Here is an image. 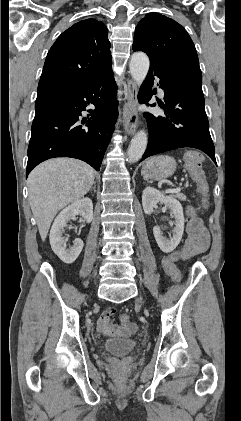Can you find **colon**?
I'll return each instance as SVG.
<instances>
[{
  "label": "colon",
  "instance_id": "obj_1",
  "mask_svg": "<svg viewBox=\"0 0 241 421\" xmlns=\"http://www.w3.org/2000/svg\"><path fill=\"white\" fill-rule=\"evenodd\" d=\"M202 162L203 157L199 152L191 151L186 154L185 165L189 170L192 178L197 183V191L201 197V203L204 206L207 202L209 185L206 180L205 173L201 169ZM181 256V251H175L174 253L166 257L164 260V268L166 272L176 282H179L181 279L180 272L176 267V263L181 259ZM120 320L122 324H128L131 322L129 315H127L126 313L120 316Z\"/></svg>",
  "mask_w": 241,
  "mask_h": 421
}]
</instances>
